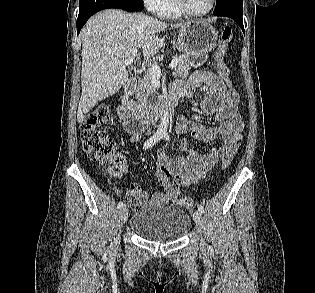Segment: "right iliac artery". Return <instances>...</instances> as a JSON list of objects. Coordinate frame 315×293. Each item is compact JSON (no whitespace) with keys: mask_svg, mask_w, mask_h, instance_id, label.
<instances>
[{"mask_svg":"<svg viewBox=\"0 0 315 293\" xmlns=\"http://www.w3.org/2000/svg\"><path fill=\"white\" fill-rule=\"evenodd\" d=\"M163 138V134L161 132H156L153 136H151L147 141H145L143 148L149 149L151 148L153 145H155L158 141H160ZM124 207L123 202H119L117 205L118 209H121Z\"/></svg>","mask_w":315,"mask_h":293,"instance_id":"82829eb1","label":"right iliac artery"}]
</instances>
